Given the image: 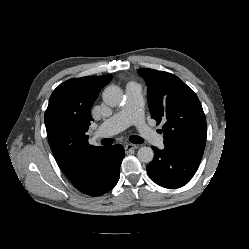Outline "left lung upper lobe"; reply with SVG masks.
Returning <instances> with one entry per match:
<instances>
[{
    "label": "left lung upper lobe",
    "mask_w": 249,
    "mask_h": 249,
    "mask_svg": "<svg viewBox=\"0 0 249 249\" xmlns=\"http://www.w3.org/2000/svg\"><path fill=\"white\" fill-rule=\"evenodd\" d=\"M148 87L152 118L164 123V145L201 161L206 143V118L197 95L177 76L149 68L138 70Z\"/></svg>",
    "instance_id": "1"
}]
</instances>
